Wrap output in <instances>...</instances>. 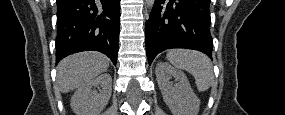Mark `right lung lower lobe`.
<instances>
[{"label": "right lung lower lobe", "mask_w": 285, "mask_h": 115, "mask_svg": "<svg viewBox=\"0 0 285 115\" xmlns=\"http://www.w3.org/2000/svg\"><path fill=\"white\" fill-rule=\"evenodd\" d=\"M120 0H57L56 63L82 51H99L116 65Z\"/></svg>", "instance_id": "98d812e1"}]
</instances>
